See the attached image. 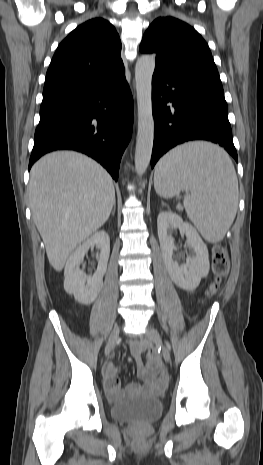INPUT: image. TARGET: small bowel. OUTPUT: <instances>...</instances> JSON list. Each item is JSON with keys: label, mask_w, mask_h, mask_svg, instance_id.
Instances as JSON below:
<instances>
[{"label": "small bowel", "mask_w": 263, "mask_h": 465, "mask_svg": "<svg viewBox=\"0 0 263 465\" xmlns=\"http://www.w3.org/2000/svg\"><path fill=\"white\" fill-rule=\"evenodd\" d=\"M132 356L138 367V376L142 384L132 383L128 386L129 390H146L149 392L162 391L167 382L166 373L160 368L157 362L151 359L147 365L143 364L142 354L147 349V343L144 341H132L130 343ZM120 367L112 362L104 365V386L112 399H117L122 395L118 372Z\"/></svg>", "instance_id": "c3829d8e"}]
</instances>
